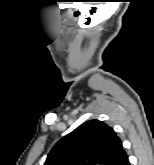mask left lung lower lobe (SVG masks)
I'll return each mask as SVG.
<instances>
[{"label":"left lung lower lobe","instance_id":"0a47b994","mask_svg":"<svg viewBox=\"0 0 154 165\" xmlns=\"http://www.w3.org/2000/svg\"><path fill=\"white\" fill-rule=\"evenodd\" d=\"M117 165H130L129 161H128V157L126 155V153L122 152L121 158L119 160V162L117 163Z\"/></svg>","mask_w":154,"mask_h":165}]
</instances>
